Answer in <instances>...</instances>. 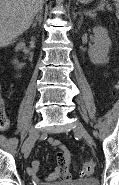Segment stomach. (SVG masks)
<instances>
[{"mask_svg":"<svg viewBox=\"0 0 119 185\" xmlns=\"http://www.w3.org/2000/svg\"><path fill=\"white\" fill-rule=\"evenodd\" d=\"M78 1H80L81 3H84V4H88V3H90L92 0H78Z\"/></svg>","mask_w":119,"mask_h":185,"instance_id":"0dacf381","label":"stomach"}]
</instances>
